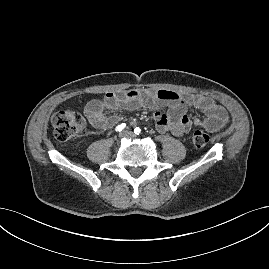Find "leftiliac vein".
Here are the masks:
<instances>
[{
	"mask_svg": "<svg viewBox=\"0 0 269 269\" xmlns=\"http://www.w3.org/2000/svg\"><path fill=\"white\" fill-rule=\"evenodd\" d=\"M123 135L125 137H128V138H134L135 137V134L133 132H131V131H125V132H123Z\"/></svg>",
	"mask_w": 269,
	"mask_h": 269,
	"instance_id": "4c4485c4",
	"label": "left iliac vein"
}]
</instances>
